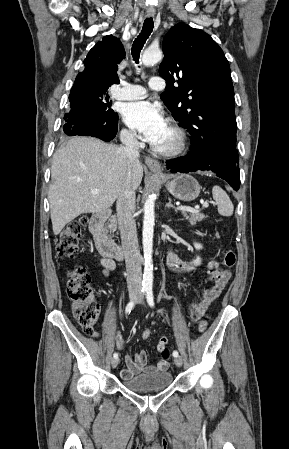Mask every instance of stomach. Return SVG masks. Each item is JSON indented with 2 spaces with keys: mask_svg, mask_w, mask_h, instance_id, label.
<instances>
[{
  "mask_svg": "<svg viewBox=\"0 0 289 449\" xmlns=\"http://www.w3.org/2000/svg\"><path fill=\"white\" fill-rule=\"evenodd\" d=\"M166 188L175 198L187 202L196 199L200 193L199 183L188 174L173 176L166 182Z\"/></svg>",
  "mask_w": 289,
  "mask_h": 449,
  "instance_id": "1",
  "label": "stomach"
}]
</instances>
